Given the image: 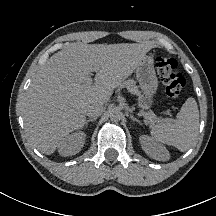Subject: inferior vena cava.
I'll return each mask as SVG.
<instances>
[{
    "mask_svg": "<svg viewBox=\"0 0 216 216\" xmlns=\"http://www.w3.org/2000/svg\"><path fill=\"white\" fill-rule=\"evenodd\" d=\"M103 105L100 103H92L86 107V115L89 117H98L103 112Z\"/></svg>",
    "mask_w": 216,
    "mask_h": 216,
    "instance_id": "inferior-vena-cava-1",
    "label": "inferior vena cava"
}]
</instances>
